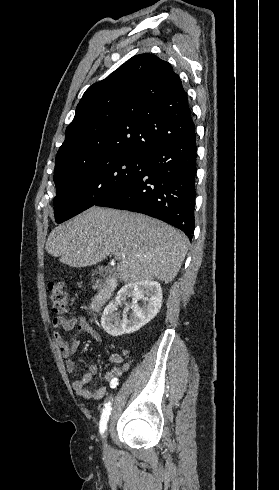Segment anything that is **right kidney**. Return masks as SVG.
I'll return each instance as SVG.
<instances>
[{
    "label": "right kidney",
    "mask_w": 279,
    "mask_h": 490,
    "mask_svg": "<svg viewBox=\"0 0 279 490\" xmlns=\"http://www.w3.org/2000/svg\"><path fill=\"white\" fill-rule=\"evenodd\" d=\"M127 298H133V302L130 306H126L122 316H118L117 310ZM162 298V288L159 282H154V280L125 284L119 290L115 300H111L106 306L101 316V326L110 336L133 334L157 316L161 310ZM139 300H147L148 304L140 308ZM128 310H132L129 318H127Z\"/></svg>",
    "instance_id": "obj_1"
}]
</instances>
